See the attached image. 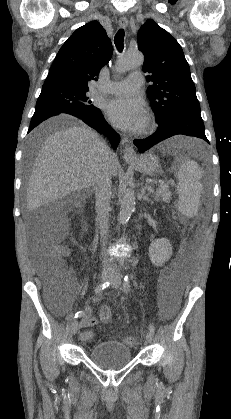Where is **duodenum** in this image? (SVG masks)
I'll list each match as a JSON object with an SVG mask.
<instances>
[{"label":"duodenum","mask_w":231,"mask_h":419,"mask_svg":"<svg viewBox=\"0 0 231 419\" xmlns=\"http://www.w3.org/2000/svg\"><path fill=\"white\" fill-rule=\"evenodd\" d=\"M82 225L86 230H90L91 229V224L90 222L85 218L84 215H82Z\"/></svg>","instance_id":"410a0bca"}]
</instances>
